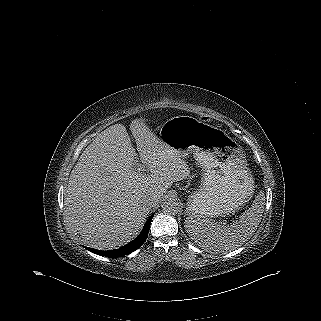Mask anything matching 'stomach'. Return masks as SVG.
Instances as JSON below:
<instances>
[{"instance_id":"stomach-1","label":"stomach","mask_w":321,"mask_h":321,"mask_svg":"<svg viewBox=\"0 0 321 321\" xmlns=\"http://www.w3.org/2000/svg\"><path fill=\"white\" fill-rule=\"evenodd\" d=\"M159 135L179 157L193 154L202 167L201 188L188 198L190 215H227L250 197L252 178L244 153L224 131L191 116H176L162 125Z\"/></svg>"}]
</instances>
